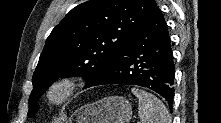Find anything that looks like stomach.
<instances>
[{
    "mask_svg": "<svg viewBox=\"0 0 221 123\" xmlns=\"http://www.w3.org/2000/svg\"><path fill=\"white\" fill-rule=\"evenodd\" d=\"M132 105L121 96H110L78 108L68 123H129Z\"/></svg>",
    "mask_w": 221,
    "mask_h": 123,
    "instance_id": "obj_1",
    "label": "stomach"
}]
</instances>
